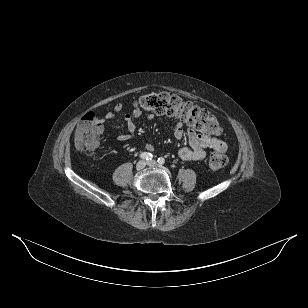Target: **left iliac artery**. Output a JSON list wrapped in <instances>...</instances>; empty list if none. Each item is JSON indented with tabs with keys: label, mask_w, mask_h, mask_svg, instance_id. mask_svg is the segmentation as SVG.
<instances>
[{
	"label": "left iliac artery",
	"mask_w": 308,
	"mask_h": 308,
	"mask_svg": "<svg viewBox=\"0 0 308 308\" xmlns=\"http://www.w3.org/2000/svg\"><path fill=\"white\" fill-rule=\"evenodd\" d=\"M158 163L163 165L165 163V159L163 157L158 158Z\"/></svg>",
	"instance_id": "left-iliac-artery-1"
}]
</instances>
